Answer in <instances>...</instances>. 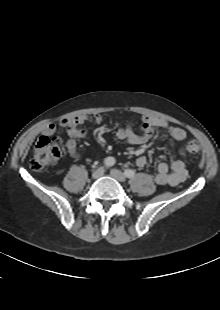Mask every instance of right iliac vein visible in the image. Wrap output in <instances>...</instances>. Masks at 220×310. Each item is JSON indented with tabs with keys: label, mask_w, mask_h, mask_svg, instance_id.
Here are the masks:
<instances>
[{
	"label": "right iliac vein",
	"mask_w": 220,
	"mask_h": 310,
	"mask_svg": "<svg viewBox=\"0 0 220 310\" xmlns=\"http://www.w3.org/2000/svg\"><path fill=\"white\" fill-rule=\"evenodd\" d=\"M104 174V168L103 167H100L98 169H96L93 174H92V177L94 179H97L99 177H101L102 175Z\"/></svg>",
	"instance_id": "1"
}]
</instances>
